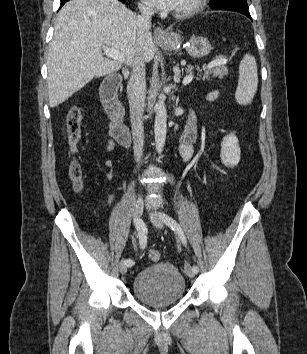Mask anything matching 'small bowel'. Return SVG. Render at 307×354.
Instances as JSON below:
<instances>
[{"label":"small bowel","mask_w":307,"mask_h":354,"mask_svg":"<svg viewBox=\"0 0 307 354\" xmlns=\"http://www.w3.org/2000/svg\"><path fill=\"white\" fill-rule=\"evenodd\" d=\"M216 96H217L216 92H211L208 95V98L212 100ZM195 139H196V126L192 121H189L183 131L180 146H179V151L184 161H189L192 158L193 143ZM116 142L117 140L111 135L105 147V152L106 153L111 152L115 148ZM239 157H240V148L238 144V139L232 131H229L222 140V152H221L222 163L228 168L234 167L238 163Z\"/></svg>","instance_id":"c3829d8e"}]
</instances>
